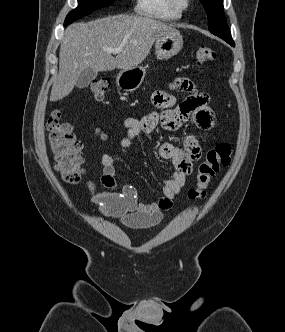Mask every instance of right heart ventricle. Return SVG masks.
<instances>
[{
    "label": "right heart ventricle",
    "mask_w": 285,
    "mask_h": 332,
    "mask_svg": "<svg viewBox=\"0 0 285 332\" xmlns=\"http://www.w3.org/2000/svg\"><path fill=\"white\" fill-rule=\"evenodd\" d=\"M134 10L140 16L160 21H175L181 17L168 0H136Z\"/></svg>",
    "instance_id": "right-heart-ventricle-1"
}]
</instances>
